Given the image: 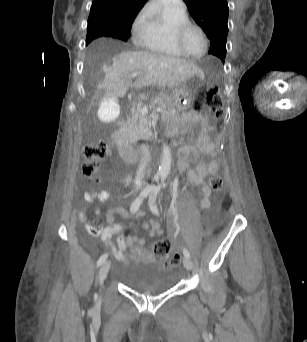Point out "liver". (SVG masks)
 Here are the masks:
<instances>
[{
  "label": "liver",
  "mask_w": 307,
  "mask_h": 342,
  "mask_svg": "<svg viewBox=\"0 0 307 342\" xmlns=\"http://www.w3.org/2000/svg\"><path fill=\"white\" fill-rule=\"evenodd\" d=\"M103 61L102 67L97 69L98 74H105L102 86L107 95H118L119 98H124L129 88H175L200 72L192 62L151 52L117 50L116 56H104ZM139 72L141 76L132 84L130 74Z\"/></svg>",
  "instance_id": "liver-1"
}]
</instances>
